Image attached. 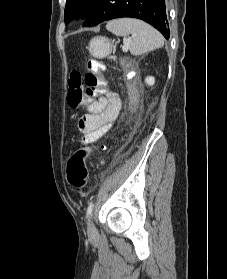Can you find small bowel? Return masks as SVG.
<instances>
[{
	"mask_svg": "<svg viewBox=\"0 0 227 279\" xmlns=\"http://www.w3.org/2000/svg\"><path fill=\"white\" fill-rule=\"evenodd\" d=\"M122 108L119 95L107 91L105 95L88 103L89 113L80 118L78 129L84 143H96L107 133L118 118Z\"/></svg>",
	"mask_w": 227,
	"mask_h": 279,
	"instance_id": "obj_1",
	"label": "small bowel"
}]
</instances>
